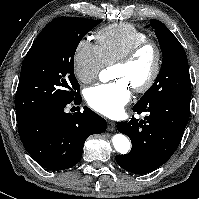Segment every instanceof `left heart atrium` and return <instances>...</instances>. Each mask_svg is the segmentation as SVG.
<instances>
[{
    "label": "left heart atrium",
    "instance_id": "39dd6f15",
    "mask_svg": "<svg viewBox=\"0 0 199 199\" xmlns=\"http://www.w3.org/2000/svg\"><path fill=\"white\" fill-rule=\"evenodd\" d=\"M130 98V87L123 79L95 85L86 92V101L89 106L107 117L121 115Z\"/></svg>",
    "mask_w": 199,
    "mask_h": 199
}]
</instances>
